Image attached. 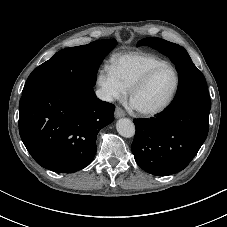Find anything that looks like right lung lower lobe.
<instances>
[{
	"instance_id": "right-lung-lower-lobe-1",
	"label": "right lung lower lobe",
	"mask_w": 227,
	"mask_h": 227,
	"mask_svg": "<svg viewBox=\"0 0 227 227\" xmlns=\"http://www.w3.org/2000/svg\"><path fill=\"white\" fill-rule=\"evenodd\" d=\"M115 106L97 99L93 88L55 85L22 95L19 133L42 167L72 173L89 165L96 137L114 120Z\"/></svg>"
}]
</instances>
